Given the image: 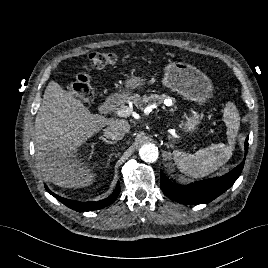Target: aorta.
Returning <instances> with one entry per match:
<instances>
[{"instance_id":"1","label":"aorta","mask_w":268,"mask_h":268,"mask_svg":"<svg viewBox=\"0 0 268 268\" xmlns=\"http://www.w3.org/2000/svg\"><path fill=\"white\" fill-rule=\"evenodd\" d=\"M139 156L147 163H154L159 156L158 148L154 144H145L139 149Z\"/></svg>"}]
</instances>
